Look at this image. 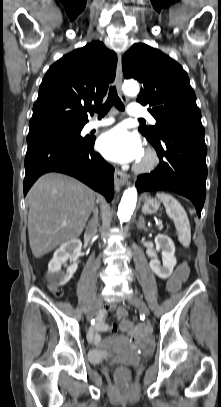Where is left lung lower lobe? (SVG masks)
<instances>
[{
    "label": "left lung lower lobe",
    "mask_w": 221,
    "mask_h": 407,
    "mask_svg": "<svg viewBox=\"0 0 221 407\" xmlns=\"http://www.w3.org/2000/svg\"><path fill=\"white\" fill-rule=\"evenodd\" d=\"M160 158L150 174L138 176V192L170 190L189 198L200 217L206 196L204 127L194 120H177L162 127L156 139H148Z\"/></svg>",
    "instance_id": "1"
}]
</instances>
